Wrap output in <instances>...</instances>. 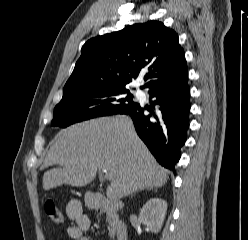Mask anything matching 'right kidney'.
Listing matches in <instances>:
<instances>
[{
  "label": "right kidney",
  "instance_id": "right-kidney-1",
  "mask_svg": "<svg viewBox=\"0 0 248 240\" xmlns=\"http://www.w3.org/2000/svg\"><path fill=\"white\" fill-rule=\"evenodd\" d=\"M167 211V202L160 198H152L142 207L139 221L151 232L158 233L163 225Z\"/></svg>",
  "mask_w": 248,
  "mask_h": 240
}]
</instances>
